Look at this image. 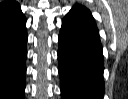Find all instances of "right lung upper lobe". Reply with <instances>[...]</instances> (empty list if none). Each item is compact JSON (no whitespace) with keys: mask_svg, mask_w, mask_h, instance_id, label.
I'll list each match as a JSON object with an SVG mask.
<instances>
[{"mask_svg":"<svg viewBox=\"0 0 128 99\" xmlns=\"http://www.w3.org/2000/svg\"><path fill=\"white\" fill-rule=\"evenodd\" d=\"M17 5L18 3L13 0H7V1L0 3V14Z\"/></svg>","mask_w":128,"mask_h":99,"instance_id":"right-lung-upper-lobe-1","label":"right lung upper lobe"}]
</instances>
